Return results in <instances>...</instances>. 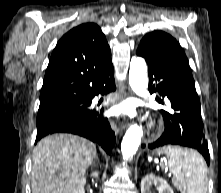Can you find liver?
Instances as JSON below:
<instances>
[{
    "mask_svg": "<svg viewBox=\"0 0 221 193\" xmlns=\"http://www.w3.org/2000/svg\"><path fill=\"white\" fill-rule=\"evenodd\" d=\"M96 154L93 143L75 135L42 139L33 152L32 193H74Z\"/></svg>",
    "mask_w": 221,
    "mask_h": 193,
    "instance_id": "liver-1",
    "label": "liver"
}]
</instances>
